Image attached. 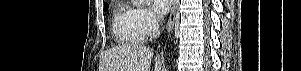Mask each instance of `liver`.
I'll return each mask as SVG.
<instances>
[{
  "mask_svg": "<svg viewBox=\"0 0 301 71\" xmlns=\"http://www.w3.org/2000/svg\"><path fill=\"white\" fill-rule=\"evenodd\" d=\"M153 51L141 44L112 48L102 57V71H150ZM162 60L155 57V71H161Z\"/></svg>",
  "mask_w": 301,
  "mask_h": 71,
  "instance_id": "liver-1",
  "label": "liver"
}]
</instances>
